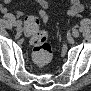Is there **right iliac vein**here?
<instances>
[{
  "label": "right iliac vein",
  "mask_w": 91,
  "mask_h": 91,
  "mask_svg": "<svg viewBox=\"0 0 91 91\" xmlns=\"http://www.w3.org/2000/svg\"><path fill=\"white\" fill-rule=\"evenodd\" d=\"M17 32H22V27L21 26H16Z\"/></svg>",
  "instance_id": "63e3f726"
}]
</instances>
